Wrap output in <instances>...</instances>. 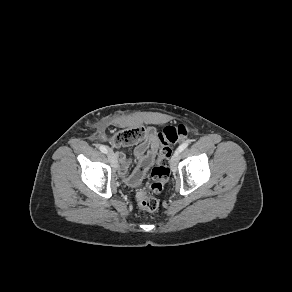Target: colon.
I'll list each match as a JSON object with an SVG mask.
<instances>
[{"label":"colon","mask_w":292,"mask_h":292,"mask_svg":"<svg viewBox=\"0 0 292 292\" xmlns=\"http://www.w3.org/2000/svg\"><path fill=\"white\" fill-rule=\"evenodd\" d=\"M145 134L146 131L143 127L128 128L114 134L111 142L115 146L129 145L142 139ZM157 136L161 148L156 165L151 171L152 181L148 186V191H140L136 195L139 207L146 211H155L157 209L158 200L153 194L160 193L169 178L171 145L185 140L188 136V131L184 125L167 126Z\"/></svg>","instance_id":"colon-1"}]
</instances>
